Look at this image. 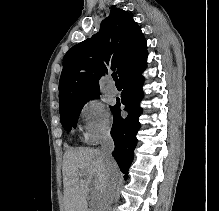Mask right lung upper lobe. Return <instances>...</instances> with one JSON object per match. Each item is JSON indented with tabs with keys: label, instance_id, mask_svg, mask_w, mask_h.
I'll return each mask as SVG.
<instances>
[{
	"label": "right lung upper lobe",
	"instance_id": "1",
	"mask_svg": "<svg viewBox=\"0 0 219 211\" xmlns=\"http://www.w3.org/2000/svg\"><path fill=\"white\" fill-rule=\"evenodd\" d=\"M146 49L142 31L131 14L113 8L99 33L65 54L59 81L60 105L99 95V80L108 70L117 69L121 79L146 61Z\"/></svg>",
	"mask_w": 219,
	"mask_h": 211
}]
</instances>
